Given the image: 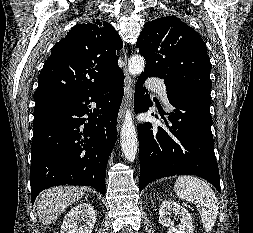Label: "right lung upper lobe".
<instances>
[{
    "label": "right lung upper lobe",
    "mask_w": 253,
    "mask_h": 233,
    "mask_svg": "<svg viewBox=\"0 0 253 233\" xmlns=\"http://www.w3.org/2000/svg\"><path fill=\"white\" fill-rule=\"evenodd\" d=\"M122 47L118 33L105 21L75 25L51 49L39 75L34 101L80 93L112 80L122 71L116 52Z\"/></svg>",
    "instance_id": "obj_1"
}]
</instances>
